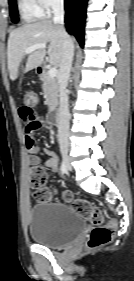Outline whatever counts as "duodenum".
<instances>
[{
	"label": "duodenum",
	"mask_w": 134,
	"mask_h": 281,
	"mask_svg": "<svg viewBox=\"0 0 134 281\" xmlns=\"http://www.w3.org/2000/svg\"><path fill=\"white\" fill-rule=\"evenodd\" d=\"M37 72L39 75H43L44 74V68L43 67H39L37 69ZM47 121L50 125L55 126L58 123V112L56 110H52L47 118Z\"/></svg>",
	"instance_id": "410a0bca"
}]
</instances>
